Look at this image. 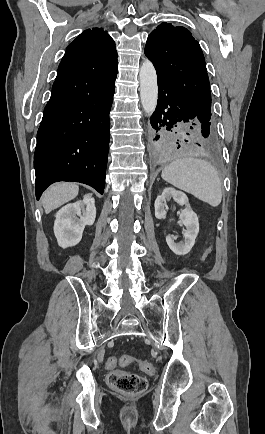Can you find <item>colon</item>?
<instances>
[{"instance_id": "5ec220e1", "label": "colon", "mask_w": 265, "mask_h": 434, "mask_svg": "<svg viewBox=\"0 0 265 434\" xmlns=\"http://www.w3.org/2000/svg\"><path fill=\"white\" fill-rule=\"evenodd\" d=\"M201 259L205 258V253L200 255ZM131 356L123 355L111 357L105 362V368L111 370L107 375L108 385L115 391L123 393H143L147 390L148 383L145 378L138 374L126 372L120 369H115L117 365H128L132 363ZM140 369L148 374L155 375V367L146 360L139 362Z\"/></svg>"}]
</instances>
